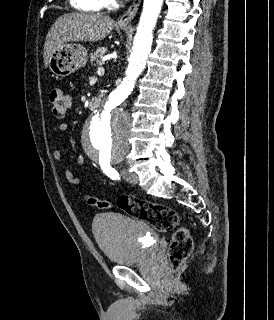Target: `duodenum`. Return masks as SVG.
<instances>
[{
  "label": "duodenum",
  "mask_w": 274,
  "mask_h": 320,
  "mask_svg": "<svg viewBox=\"0 0 274 320\" xmlns=\"http://www.w3.org/2000/svg\"><path fill=\"white\" fill-rule=\"evenodd\" d=\"M101 105V100L98 97H93L89 101V108L92 110L98 109Z\"/></svg>",
  "instance_id": "obj_1"
}]
</instances>
